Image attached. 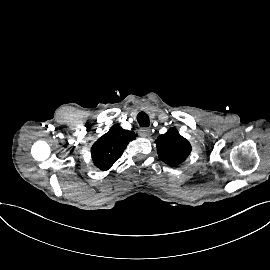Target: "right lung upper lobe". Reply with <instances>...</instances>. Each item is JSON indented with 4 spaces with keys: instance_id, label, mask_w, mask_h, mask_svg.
<instances>
[{
    "instance_id": "cb5924a9",
    "label": "right lung upper lobe",
    "mask_w": 270,
    "mask_h": 270,
    "mask_svg": "<svg viewBox=\"0 0 270 270\" xmlns=\"http://www.w3.org/2000/svg\"><path fill=\"white\" fill-rule=\"evenodd\" d=\"M134 139L136 134L133 131L112 126L91 148L94 165L102 171L108 170L122 156L127 144Z\"/></svg>"
}]
</instances>
